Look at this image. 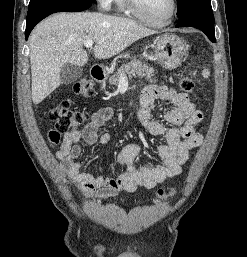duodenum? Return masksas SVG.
<instances>
[{
    "instance_id": "1",
    "label": "duodenum",
    "mask_w": 247,
    "mask_h": 257,
    "mask_svg": "<svg viewBox=\"0 0 247 257\" xmlns=\"http://www.w3.org/2000/svg\"><path fill=\"white\" fill-rule=\"evenodd\" d=\"M91 77L96 82H102L105 79V73L101 66L95 65L91 68Z\"/></svg>"
}]
</instances>
